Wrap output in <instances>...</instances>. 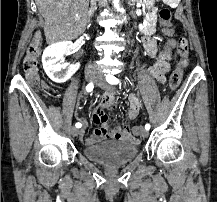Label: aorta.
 <instances>
[{
  "instance_id": "aorta-1",
  "label": "aorta",
  "mask_w": 217,
  "mask_h": 202,
  "mask_svg": "<svg viewBox=\"0 0 217 202\" xmlns=\"http://www.w3.org/2000/svg\"><path fill=\"white\" fill-rule=\"evenodd\" d=\"M119 2L120 0H113L112 4H114V8H116L117 12H125V10H123V8H120L119 6Z\"/></svg>"
}]
</instances>
